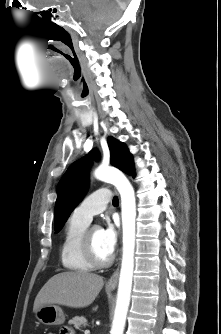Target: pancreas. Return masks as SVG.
<instances>
[{"label":"pancreas","instance_id":"pancreas-1","mask_svg":"<svg viewBox=\"0 0 221 334\" xmlns=\"http://www.w3.org/2000/svg\"><path fill=\"white\" fill-rule=\"evenodd\" d=\"M70 324H73L75 329L81 330L82 327H85L87 325V320L83 316H76L72 320H70Z\"/></svg>","mask_w":221,"mask_h":334}]
</instances>
